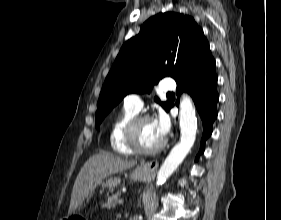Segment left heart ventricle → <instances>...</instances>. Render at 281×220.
<instances>
[{
  "mask_svg": "<svg viewBox=\"0 0 281 220\" xmlns=\"http://www.w3.org/2000/svg\"><path fill=\"white\" fill-rule=\"evenodd\" d=\"M137 137L139 144L144 148L155 147L163 141L153 120L144 121L139 125Z\"/></svg>",
  "mask_w": 281,
  "mask_h": 220,
  "instance_id": "1",
  "label": "left heart ventricle"
}]
</instances>
